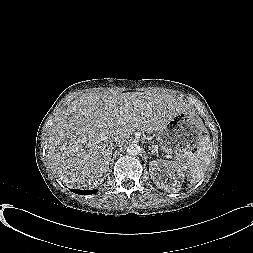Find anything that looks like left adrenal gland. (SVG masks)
Wrapping results in <instances>:
<instances>
[{"mask_svg":"<svg viewBox=\"0 0 253 253\" xmlns=\"http://www.w3.org/2000/svg\"><path fill=\"white\" fill-rule=\"evenodd\" d=\"M149 150H151V155L154 154V150L149 146Z\"/></svg>","mask_w":253,"mask_h":253,"instance_id":"obj_1","label":"left adrenal gland"}]
</instances>
